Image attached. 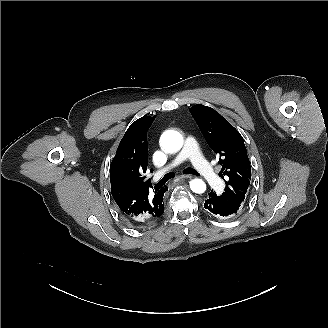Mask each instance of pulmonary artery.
Masks as SVG:
<instances>
[{
  "mask_svg": "<svg viewBox=\"0 0 328 328\" xmlns=\"http://www.w3.org/2000/svg\"><path fill=\"white\" fill-rule=\"evenodd\" d=\"M198 142L197 136H190L186 147L176 155L174 164L176 167L181 168L188 158L195 165L194 169L197 173L204 176L209 184L216 185L221 180V174L211 161L207 159L203 150L199 148Z\"/></svg>",
  "mask_w": 328,
  "mask_h": 328,
  "instance_id": "obj_1",
  "label": "pulmonary artery"
}]
</instances>
